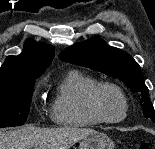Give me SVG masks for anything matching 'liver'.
<instances>
[{
    "label": "liver",
    "mask_w": 155,
    "mask_h": 149,
    "mask_svg": "<svg viewBox=\"0 0 155 149\" xmlns=\"http://www.w3.org/2000/svg\"><path fill=\"white\" fill-rule=\"evenodd\" d=\"M93 129L63 127L42 129L26 126L11 131H0V149H69Z\"/></svg>",
    "instance_id": "1"
}]
</instances>
